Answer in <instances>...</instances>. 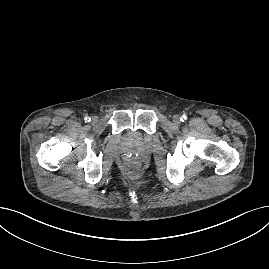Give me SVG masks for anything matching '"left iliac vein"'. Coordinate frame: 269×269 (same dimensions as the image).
<instances>
[{
	"mask_svg": "<svg viewBox=\"0 0 269 269\" xmlns=\"http://www.w3.org/2000/svg\"><path fill=\"white\" fill-rule=\"evenodd\" d=\"M180 116L179 115H174L173 116V122L175 123V124H180Z\"/></svg>",
	"mask_w": 269,
	"mask_h": 269,
	"instance_id": "1",
	"label": "left iliac vein"
}]
</instances>
